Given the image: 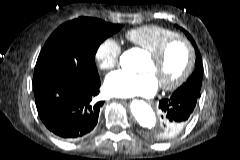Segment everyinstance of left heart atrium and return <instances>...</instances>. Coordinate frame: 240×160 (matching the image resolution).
Returning a JSON list of instances; mask_svg holds the SVG:
<instances>
[{
  "label": "left heart atrium",
  "instance_id": "obj_1",
  "mask_svg": "<svg viewBox=\"0 0 240 160\" xmlns=\"http://www.w3.org/2000/svg\"><path fill=\"white\" fill-rule=\"evenodd\" d=\"M158 85L159 83L153 73L132 74L120 70L107 76L104 89L111 96L151 97L157 92Z\"/></svg>",
  "mask_w": 240,
  "mask_h": 160
}]
</instances>
